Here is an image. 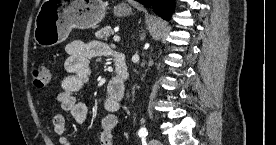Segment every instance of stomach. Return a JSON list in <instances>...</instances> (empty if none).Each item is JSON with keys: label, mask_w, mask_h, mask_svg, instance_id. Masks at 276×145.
I'll use <instances>...</instances> for the list:
<instances>
[{"label": "stomach", "mask_w": 276, "mask_h": 145, "mask_svg": "<svg viewBox=\"0 0 276 145\" xmlns=\"http://www.w3.org/2000/svg\"><path fill=\"white\" fill-rule=\"evenodd\" d=\"M131 12L123 4L114 8L118 16ZM105 14L101 0H44L35 19L34 40L45 48L55 46L66 40L73 28H95Z\"/></svg>", "instance_id": "1"}]
</instances>
